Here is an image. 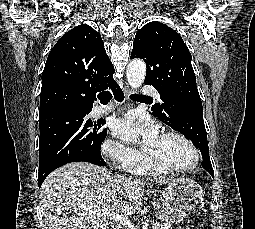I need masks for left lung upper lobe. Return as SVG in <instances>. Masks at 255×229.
Masks as SVG:
<instances>
[{"label": "left lung upper lobe", "mask_w": 255, "mask_h": 229, "mask_svg": "<svg viewBox=\"0 0 255 229\" xmlns=\"http://www.w3.org/2000/svg\"><path fill=\"white\" fill-rule=\"evenodd\" d=\"M132 58H141L147 65L144 80L160 94L162 104L151 107L152 114L174 130L184 134L198 147L201 154H209L207 134L192 129L191 121L180 122L175 113L194 103H202L191 65V54L181 36L159 22H150L136 33Z\"/></svg>", "instance_id": "5c2ea615"}]
</instances>
